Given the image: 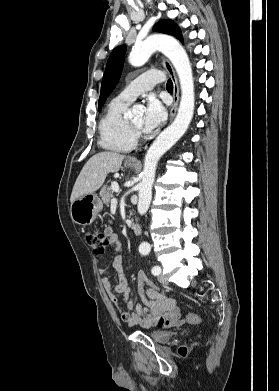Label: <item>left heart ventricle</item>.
Returning a JSON list of instances; mask_svg holds the SVG:
<instances>
[{
    "label": "left heart ventricle",
    "mask_w": 279,
    "mask_h": 391,
    "mask_svg": "<svg viewBox=\"0 0 279 391\" xmlns=\"http://www.w3.org/2000/svg\"><path fill=\"white\" fill-rule=\"evenodd\" d=\"M135 125L139 126V127H142L143 126V115L142 113H139L135 116H133L131 119H130Z\"/></svg>",
    "instance_id": "b2bd125f"
}]
</instances>
